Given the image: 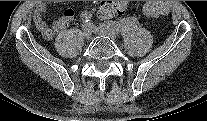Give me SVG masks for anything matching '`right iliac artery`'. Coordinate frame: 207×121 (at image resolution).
Instances as JSON below:
<instances>
[{
    "label": "right iliac artery",
    "mask_w": 207,
    "mask_h": 121,
    "mask_svg": "<svg viewBox=\"0 0 207 121\" xmlns=\"http://www.w3.org/2000/svg\"><path fill=\"white\" fill-rule=\"evenodd\" d=\"M91 14L89 13V12H82V14H81V20L84 22V23H86L85 25H91L90 24V21H91Z\"/></svg>",
    "instance_id": "82829eb1"
}]
</instances>
